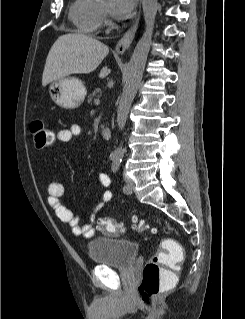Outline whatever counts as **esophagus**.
I'll list each match as a JSON object with an SVG mask.
<instances>
[{
	"label": "esophagus",
	"mask_w": 245,
	"mask_h": 319,
	"mask_svg": "<svg viewBox=\"0 0 245 319\" xmlns=\"http://www.w3.org/2000/svg\"><path fill=\"white\" fill-rule=\"evenodd\" d=\"M138 23H139V16L136 18L131 28L123 35V37L117 43L115 47V50L117 53L119 54L124 53L129 48V46L131 45L135 37L136 31L138 28Z\"/></svg>",
	"instance_id": "34e87169"
}]
</instances>
